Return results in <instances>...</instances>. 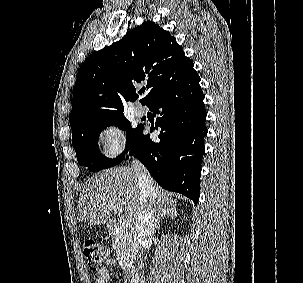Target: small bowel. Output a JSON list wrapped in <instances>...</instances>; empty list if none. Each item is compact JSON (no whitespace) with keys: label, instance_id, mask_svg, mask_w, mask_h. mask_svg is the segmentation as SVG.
<instances>
[{"label":"small bowel","instance_id":"obj_1","mask_svg":"<svg viewBox=\"0 0 303 283\" xmlns=\"http://www.w3.org/2000/svg\"><path fill=\"white\" fill-rule=\"evenodd\" d=\"M115 264L113 258L106 261L105 266L99 271L95 283H107L110 280L109 267Z\"/></svg>","mask_w":303,"mask_h":283}]
</instances>
